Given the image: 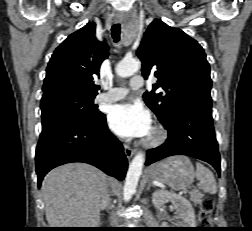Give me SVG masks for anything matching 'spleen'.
<instances>
[{
	"label": "spleen",
	"instance_id": "3e777b00",
	"mask_svg": "<svg viewBox=\"0 0 252 231\" xmlns=\"http://www.w3.org/2000/svg\"><path fill=\"white\" fill-rule=\"evenodd\" d=\"M196 178L200 182L201 189L210 194H216L217 185L213 173L201 163L196 164Z\"/></svg>",
	"mask_w": 252,
	"mask_h": 231
}]
</instances>
